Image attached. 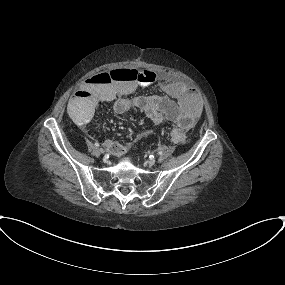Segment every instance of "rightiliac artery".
Wrapping results in <instances>:
<instances>
[{"label":"right iliac artery","mask_w":285,"mask_h":285,"mask_svg":"<svg viewBox=\"0 0 285 285\" xmlns=\"http://www.w3.org/2000/svg\"><path fill=\"white\" fill-rule=\"evenodd\" d=\"M94 146H95V147H99L100 144H99L98 142H95V143H94Z\"/></svg>","instance_id":"obj_1"}]
</instances>
